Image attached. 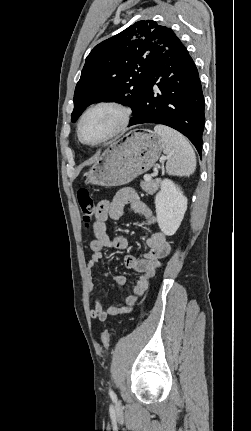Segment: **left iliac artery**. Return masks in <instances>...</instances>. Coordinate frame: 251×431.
<instances>
[{
    "mask_svg": "<svg viewBox=\"0 0 251 431\" xmlns=\"http://www.w3.org/2000/svg\"><path fill=\"white\" fill-rule=\"evenodd\" d=\"M109 394L111 397H115V393L111 389L109 390Z\"/></svg>",
    "mask_w": 251,
    "mask_h": 431,
    "instance_id": "1",
    "label": "left iliac artery"
}]
</instances>
